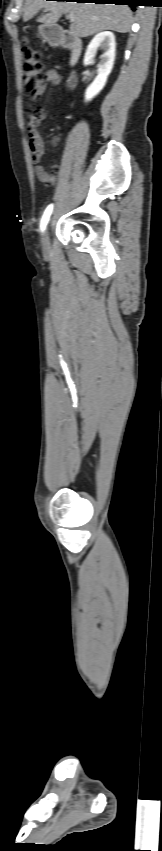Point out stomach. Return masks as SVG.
Returning a JSON list of instances; mask_svg holds the SVG:
<instances>
[{"label":"stomach","mask_w":162,"mask_h":851,"mask_svg":"<svg viewBox=\"0 0 162 851\" xmlns=\"http://www.w3.org/2000/svg\"><path fill=\"white\" fill-rule=\"evenodd\" d=\"M39 33L46 41H53L59 37V28L55 25L43 24L39 26Z\"/></svg>","instance_id":"0dacf381"}]
</instances>
